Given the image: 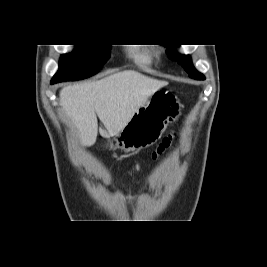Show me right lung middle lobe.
Wrapping results in <instances>:
<instances>
[{
  "label": "right lung middle lobe",
  "instance_id": "obj_1",
  "mask_svg": "<svg viewBox=\"0 0 267 267\" xmlns=\"http://www.w3.org/2000/svg\"><path fill=\"white\" fill-rule=\"evenodd\" d=\"M110 55V45H76L75 50L63 54L59 69L52 81H75L94 75Z\"/></svg>",
  "mask_w": 267,
  "mask_h": 267
}]
</instances>
